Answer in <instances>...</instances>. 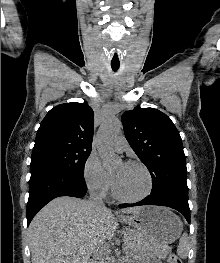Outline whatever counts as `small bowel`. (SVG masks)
Segmentation results:
<instances>
[{
  "instance_id": "obj_1",
  "label": "small bowel",
  "mask_w": 220,
  "mask_h": 263,
  "mask_svg": "<svg viewBox=\"0 0 220 263\" xmlns=\"http://www.w3.org/2000/svg\"><path fill=\"white\" fill-rule=\"evenodd\" d=\"M147 263H161V262L155 259H151Z\"/></svg>"
}]
</instances>
